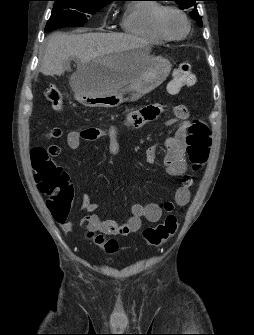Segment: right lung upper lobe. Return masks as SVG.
I'll return each instance as SVG.
<instances>
[{"mask_svg":"<svg viewBox=\"0 0 254 335\" xmlns=\"http://www.w3.org/2000/svg\"><path fill=\"white\" fill-rule=\"evenodd\" d=\"M99 1L111 2V1H115V0H99Z\"/></svg>","mask_w":254,"mask_h":335,"instance_id":"right-lung-upper-lobe-1","label":"right lung upper lobe"}]
</instances>
